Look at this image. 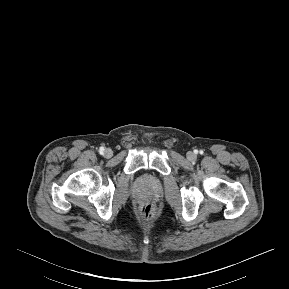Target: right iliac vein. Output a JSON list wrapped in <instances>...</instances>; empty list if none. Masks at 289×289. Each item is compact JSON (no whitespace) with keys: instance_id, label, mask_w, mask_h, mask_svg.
Masks as SVG:
<instances>
[{"instance_id":"right-iliac-vein-1","label":"right iliac vein","mask_w":289,"mask_h":289,"mask_svg":"<svg viewBox=\"0 0 289 289\" xmlns=\"http://www.w3.org/2000/svg\"><path fill=\"white\" fill-rule=\"evenodd\" d=\"M112 155H113V152H112L111 149L107 148V149L104 151V156H105L106 158H110V157H112Z\"/></svg>"}]
</instances>
